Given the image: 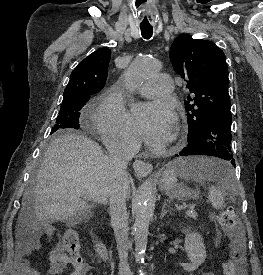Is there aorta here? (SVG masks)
Wrapping results in <instances>:
<instances>
[{
	"instance_id": "1",
	"label": "aorta",
	"mask_w": 263,
	"mask_h": 275,
	"mask_svg": "<svg viewBox=\"0 0 263 275\" xmlns=\"http://www.w3.org/2000/svg\"><path fill=\"white\" fill-rule=\"evenodd\" d=\"M161 67L158 60L147 56L138 57L125 71L123 78L128 91L134 93L143 82ZM155 196L152 185L146 183L141 191L134 223L135 252L138 261H144L149 233V223L153 214Z\"/></svg>"
}]
</instances>
